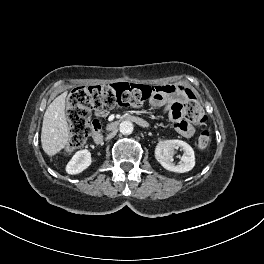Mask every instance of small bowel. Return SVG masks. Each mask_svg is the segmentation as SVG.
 Returning <instances> with one entry per match:
<instances>
[{"mask_svg": "<svg viewBox=\"0 0 264 264\" xmlns=\"http://www.w3.org/2000/svg\"><path fill=\"white\" fill-rule=\"evenodd\" d=\"M161 87L173 88V90L152 98L150 104L155 108L161 109L163 113L169 116L180 135L186 138L193 136L195 132L193 126L182 119L184 93L178 88L179 86L166 85ZM96 115L103 117L106 115V112L96 113Z\"/></svg>", "mask_w": 264, "mask_h": 264, "instance_id": "obj_1", "label": "small bowel"}]
</instances>
